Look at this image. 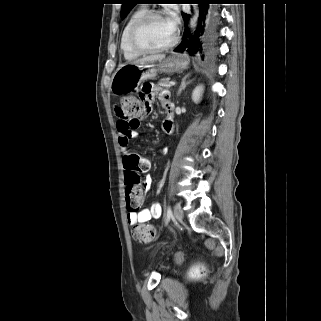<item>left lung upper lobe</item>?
<instances>
[{
    "label": "left lung upper lobe",
    "instance_id": "1",
    "mask_svg": "<svg viewBox=\"0 0 321 321\" xmlns=\"http://www.w3.org/2000/svg\"><path fill=\"white\" fill-rule=\"evenodd\" d=\"M137 3L138 0H122L121 18L124 19Z\"/></svg>",
    "mask_w": 321,
    "mask_h": 321
}]
</instances>
